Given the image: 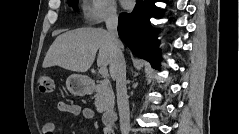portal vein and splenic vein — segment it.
I'll list each match as a JSON object with an SVG mask.
<instances>
[{
    "mask_svg": "<svg viewBox=\"0 0 239 134\" xmlns=\"http://www.w3.org/2000/svg\"><path fill=\"white\" fill-rule=\"evenodd\" d=\"M99 73L103 76L106 77L108 75V70L106 67H100L99 68Z\"/></svg>",
    "mask_w": 239,
    "mask_h": 134,
    "instance_id": "obj_1",
    "label": "portal vein and splenic vein"
}]
</instances>
